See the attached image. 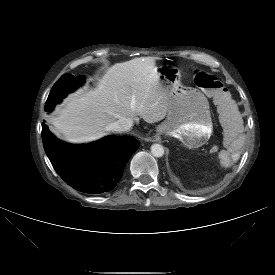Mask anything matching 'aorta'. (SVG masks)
Listing matches in <instances>:
<instances>
[{"instance_id": "aorta-1", "label": "aorta", "mask_w": 275, "mask_h": 275, "mask_svg": "<svg viewBox=\"0 0 275 275\" xmlns=\"http://www.w3.org/2000/svg\"><path fill=\"white\" fill-rule=\"evenodd\" d=\"M151 153L154 157H162L164 155V148L160 144H153L151 146Z\"/></svg>"}]
</instances>
